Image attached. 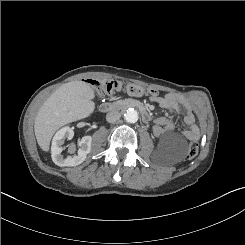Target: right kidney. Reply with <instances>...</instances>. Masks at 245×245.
Returning a JSON list of instances; mask_svg holds the SVG:
<instances>
[{
    "mask_svg": "<svg viewBox=\"0 0 245 245\" xmlns=\"http://www.w3.org/2000/svg\"><path fill=\"white\" fill-rule=\"evenodd\" d=\"M74 136V131L70 127H64L60 129L54 136L52 140V146H51V156L53 162L60 167L64 166H77L81 164L85 159L87 154L91 151V143H92V137L91 136H84L79 141V150L78 155L75 156H68L67 158H64L62 155V145L65 139H72ZM76 151L75 146L69 147V152L72 154Z\"/></svg>",
    "mask_w": 245,
    "mask_h": 245,
    "instance_id": "obj_1",
    "label": "right kidney"
}]
</instances>
